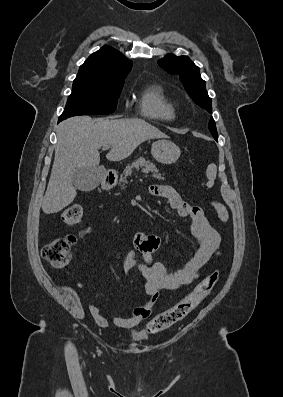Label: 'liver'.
Here are the masks:
<instances>
[{"instance_id": "6515ba94", "label": "liver", "mask_w": 283, "mask_h": 397, "mask_svg": "<svg viewBox=\"0 0 283 397\" xmlns=\"http://www.w3.org/2000/svg\"><path fill=\"white\" fill-rule=\"evenodd\" d=\"M166 135L142 119H95L76 116L63 121L57 129L55 157L42 202L46 214L60 212L75 199L72 174L76 167L98 168L99 149L111 146L106 158L121 161L143 142Z\"/></svg>"}]
</instances>
